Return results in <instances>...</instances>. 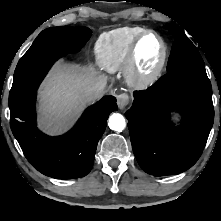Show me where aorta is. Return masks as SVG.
Masks as SVG:
<instances>
[{"label":"aorta","mask_w":221,"mask_h":221,"mask_svg":"<svg viewBox=\"0 0 221 221\" xmlns=\"http://www.w3.org/2000/svg\"><path fill=\"white\" fill-rule=\"evenodd\" d=\"M108 125L110 129L121 132L126 126L125 118L119 113H114L109 117Z\"/></svg>","instance_id":"762f6f07"}]
</instances>
